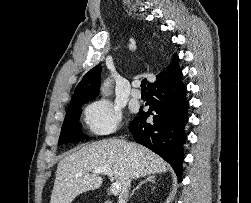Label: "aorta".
<instances>
[{
	"label": "aorta",
	"instance_id": "1",
	"mask_svg": "<svg viewBox=\"0 0 251 203\" xmlns=\"http://www.w3.org/2000/svg\"><path fill=\"white\" fill-rule=\"evenodd\" d=\"M112 84V80L110 78L106 79L101 87L102 94L106 96L108 94L109 87Z\"/></svg>",
	"mask_w": 251,
	"mask_h": 203
}]
</instances>
